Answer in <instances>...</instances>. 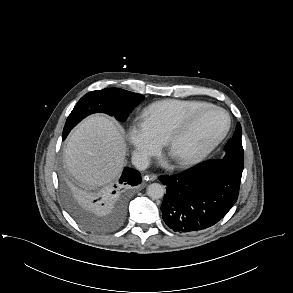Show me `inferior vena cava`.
I'll return each mask as SVG.
<instances>
[{"label":"inferior vena cava","mask_w":293,"mask_h":293,"mask_svg":"<svg viewBox=\"0 0 293 293\" xmlns=\"http://www.w3.org/2000/svg\"><path fill=\"white\" fill-rule=\"evenodd\" d=\"M132 164L138 169V170H145L150 165V159L147 155L134 152L132 155Z\"/></svg>","instance_id":"602c4592"}]
</instances>
